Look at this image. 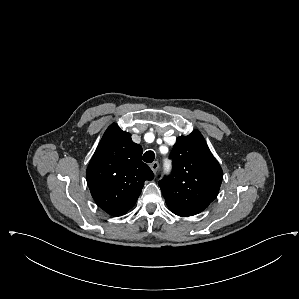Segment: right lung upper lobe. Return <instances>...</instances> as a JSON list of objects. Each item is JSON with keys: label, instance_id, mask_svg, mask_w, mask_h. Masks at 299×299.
Segmentation results:
<instances>
[{"label": "right lung upper lobe", "instance_id": "right-lung-upper-lobe-1", "mask_svg": "<svg viewBox=\"0 0 299 299\" xmlns=\"http://www.w3.org/2000/svg\"><path fill=\"white\" fill-rule=\"evenodd\" d=\"M142 147L113 123L105 131L87 168V183L96 204L112 216L131 209L153 172L142 162Z\"/></svg>", "mask_w": 299, "mask_h": 299}]
</instances>
